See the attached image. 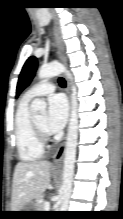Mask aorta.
<instances>
[{
    "label": "aorta",
    "instance_id": "obj_1",
    "mask_svg": "<svg viewBox=\"0 0 123 219\" xmlns=\"http://www.w3.org/2000/svg\"><path fill=\"white\" fill-rule=\"evenodd\" d=\"M61 73H65L70 79L72 87L71 94V117L68 127L67 141L65 146L64 164H63V198L69 199L72 188V181L74 175V163L76 156V146L78 137V103L77 91L73 83L71 73L60 63L52 62L40 67L38 71L39 79H50ZM31 111L35 115H44L46 112V102L42 99L36 98L31 104Z\"/></svg>",
    "mask_w": 123,
    "mask_h": 219
}]
</instances>
